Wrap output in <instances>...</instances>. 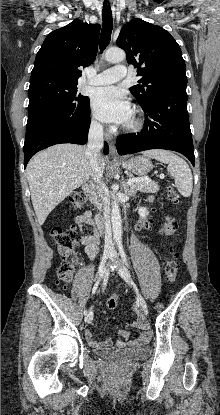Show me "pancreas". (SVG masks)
<instances>
[{
	"instance_id": "obj_1",
	"label": "pancreas",
	"mask_w": 220,
	"mask_h": 415,
	"mask_svg": "<svg viewBox=\"0 0 220 415\" xmlns=\"http://www.w3.org/2000/svg\"><path fill=\"white\" fill-rule=\"evenodd\" d=\"M129 178H133V176H129ZM131 189L133 191H141L145 193H156L159 191V186L154 181H142L134 183L131 186ZM107 193L103 188H98L93 191L92 193V200L97 204V206L100 208L104 203H107Z\"/></svg>"
}]
</instances>
